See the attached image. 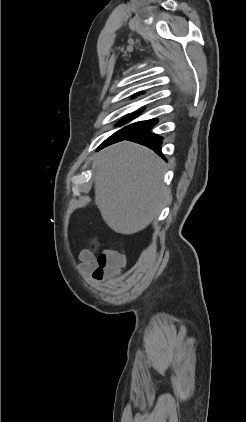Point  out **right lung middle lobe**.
<instances>
[{"label": "right lung middle lobe", "instance_id": "dd1d6c3e", "mask_svg": "<svg viewBox=\"0 0 246 422\" xmlns=\"http://www.w3.org/2000/svg\"><path fill=\"white\" fill-rule=\"evenodd\" d=\"M141 113V111H137L134 112L133 114H129L127 115L125 118H123L120 122L119 125H123L126 122L134 119L137 117V115H139ZM158 120L157 119H151V120H146V121H139L133 124H130L128 126H125L124 128L120 129L119 131L115 132L112 136H110L108 139H106L101 145V147L116 143L118 141H122L130 136H132L133 134L149 127L150 125L156 123Z\"/></svg>", "mask_w": 246, "mask_h": 422}]
</instances>
